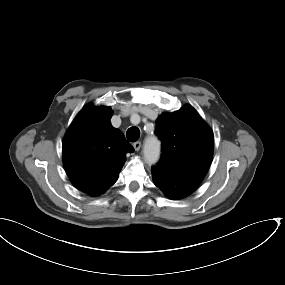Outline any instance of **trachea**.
<instances>
[{
  "label": "trachea",
  "mask_w": 285,
  "mask_h": 285,
  "mask_svg": "<svg viewBox=\"0 0 285 285\" xmlns=\"http://www.w3.org/2000/svg\"><path fill=\"white\" fill-rule=\"evenodd\" d=\"M126 136L130 142H135L140 137V130L137 127H131L127 130Z\"/></svg>",
  "instance_id": "3493384b"
}]
</instances>
